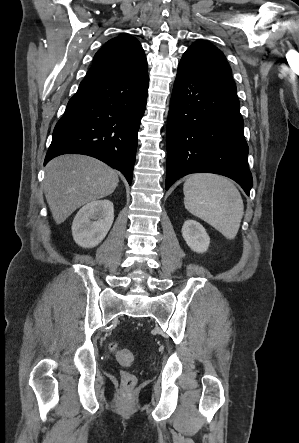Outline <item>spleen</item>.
Masks as SVG:
<instances>
[{
  "mask_svg": "<svg viewBox=\"0 0 299 443\" xmlns=\"http://www.w3.org/2000/svg\"><path fill=\"white\" fill-rule=\"evenodd\" d=\"M185 208L193 215L208 222L226 238L238 233L244 213L241 195L227 178L196 174L184 183Z\"/></svg>",
  "mask_w": 299,
  "mask_h": 443,
  "instance_id": "1",
  "label": "spleen"
}]
</instances>
